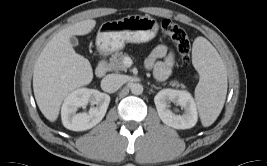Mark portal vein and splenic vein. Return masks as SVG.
I'll use <instances>...</instances> for the list:
<instances>
[{"instance_id": "obj_1", "label": "portal vein and splenic vein", "mask_w": 267, "mask_h": 166, "mask_svg": "<svg viewBox=\"0 0 267 166\" xmlns=\"http://www.w3.org/2000/svg\"><path fill=\"white\" fill-rule=\"evenodd\" d=\"M124 64H125L126 66H131V65H132V60H131V58H130V57H125V58H124Z\"/></svg>"}]
</instances>
